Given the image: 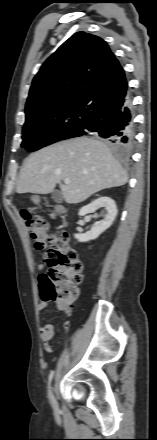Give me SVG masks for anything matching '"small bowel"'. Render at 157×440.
<instances>
[{
    "instance_id": "small-bowel-1",
    "label": "small bowel",
    "mask_w": 157,
    "mask_h": 440,
    "mask_svg": "<svg viewBox=\"0 0 157 440\" xmlns=\"http://www.w3.org/2000/svg\"><path fill=\"white\" fill-rule=\"evenodd\" d=\"M42 268V267H40ZM47 308L46 302H41L38 305V309L43 311ZM40 337L43 342L44 348L47 352H52V339L54 337V329L52 324H46L40 329Z\"/></svg>"
}]
</instances>
